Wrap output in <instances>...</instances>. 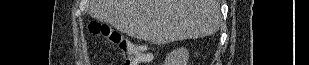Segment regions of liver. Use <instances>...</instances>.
Here are the masks:
<instances>
[{
  "mask_svg": "<svg viewBox=\"0 0 309 65\" xmlns=\"http://www.w3.org/2000/svg\"><path fill=\"white\" fill-rule=\"evenodd\" d=\"M88 5L94 19L156 44L212 35L221 21L219 0H88Z\"/></svg>",
  "mask_w": 309,
  "mask_h": 65,
  "instance_id": "obj_1",
  "label": "liver"
}]
</instances>
